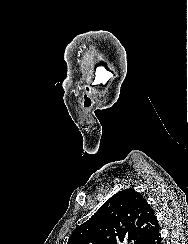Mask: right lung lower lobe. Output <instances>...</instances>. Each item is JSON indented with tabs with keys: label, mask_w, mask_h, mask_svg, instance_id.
<instances>
[{
	"label": "right lung lower lobe",
	"mask_w": 188,
	"mask_h": 244,
	"mask_svg": "<svg viewBox=\"0 0 188 244\" xmlns=\"http://www.w3.org/2000/svg\"><path fill=\"white\" fill-rule=\"evenodd\" d=\"M146 244H162L159 233V226L152 232Z\"/></svg>",
	"instance_id": "98d812e1"
}]
</instances>
